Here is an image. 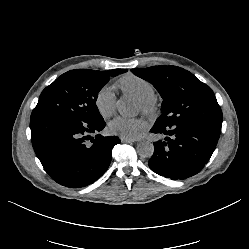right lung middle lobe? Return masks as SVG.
I'll list each match as a JSON object with an SVG mask.
<instances>
[{
	"mask_svg": "<svg viewBox=\"0 0 249 249\" xmlns=\"http://www.w3.org/2000/svg\"><path fill=\"white\" fill-rule=\"evenodd\" d=\"M126 71H68L42 91L30 119L61 116L86 123L99 122L103 120L96 106L99 91L108 83L110 77Z\"/></svg>",
	"mask_w": 249,
	"mask_h": 249,
	"instance_id": "dd1d6c3e",
	"label": "right lung middle lobe"
}]
</instances>
